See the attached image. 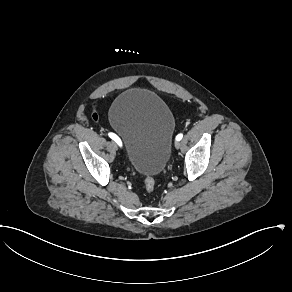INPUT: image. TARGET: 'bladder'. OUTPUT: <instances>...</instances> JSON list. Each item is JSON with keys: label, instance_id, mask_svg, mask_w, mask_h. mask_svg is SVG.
<instances>
[{"label": "bladder", "instance_id": "obj_1", "mask_svg": "<svg viewBox=\"0 0 292 292\" xmlns=\"http://www.w3.org/2000/svg\"><path fill=\"white\" fill-rule=\"evenodd\" d=\"M109 121L122 138L126 159L136 172L154 176L164 170L175 119L160 96L147 89H128L113 102Z\"/></svg>", "mask_w": 292, "mask_h": 292}]
</instances>
